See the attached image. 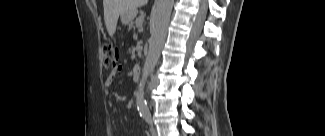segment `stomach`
<instances>
[{
  "mask_svg": "<svg viewBox=\"0 0 325 136\" xmlns=\"http://www.w3.org/2000/svg\"><path fill=\"white\" fill-rule=\"evenodd\" d=\"M136 14H137V11H131V12L125 13V14L121 15V20L124 24H128L135 18Z\"/></svg>",
  "mask_w": 325,
  "mask_h": 136,
  "instance_id": "obj_1",
  "label": "stomach"
}]
</instances>
